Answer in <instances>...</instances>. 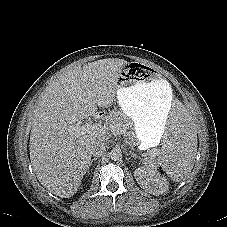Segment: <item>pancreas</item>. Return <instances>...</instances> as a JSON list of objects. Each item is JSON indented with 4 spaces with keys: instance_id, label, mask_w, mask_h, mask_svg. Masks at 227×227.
Listing matches in <instances>:
<instances>
[{
    "instance_id": "pancreas-1",
    "label": "pancreas",
    "mask_w": 227,
    "mask_h": 227,
    "mask_svg": "<svg viewBox=\"0 0 227 227\" xmlns=\"http://www.w3.org/2000/svg\"><path fill=\"white\" fill-rule=\"evenodd\" d=\"M107 125L113 133L131 135L127 130L132 127V122L119 111H114L107 117Z\"/></svg>"
}]
</instances>
